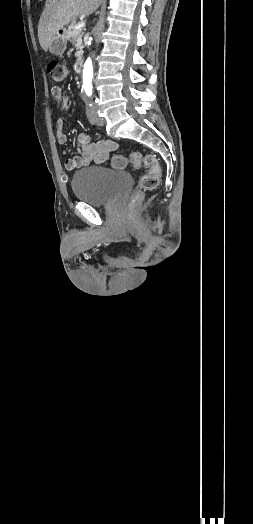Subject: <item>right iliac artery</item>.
I'll use <instances>...</instances> for the list:
<instances>
[{
    "label": "right iliac artery",
    "instance_id": "82829eb1",
    "mask_svg": "<svg viewBox=\"0 0 253 524\" xmlns=\"http://www.w3.org/2000/svg\"><path fill=\"white\" fill-rule=\"evenodd\" d=\"M86 114H87V118L89 120V122L92 124V125H95L96 124V119H95V115H94V112H93V109H92V105L90 104L89 106H87L86 108Z\"/></svg>",
    "mask_w": 253,
    "mask_h": 524
}]
</instances>
